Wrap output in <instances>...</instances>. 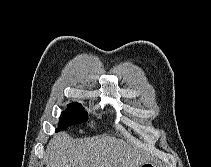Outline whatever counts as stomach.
Returning a JSON list of instances; mask_svg holds the SVG:
<instances>
[{
	"label": "stomach",
	"mask_w": 211,
	"mask_h": 167,
	"mask_svg": "<svg viewBox=\"0 0 211 167\" xmlns=\"http://www.w3.org/2000/svg\"><path fill=\"white\" fill-rule=\"evenodd\" d=\"M139 167H160V166L154 161H147L140 164Z\"/></svg>",
	"instance_id": "stomach-1"
}]
</instances>
